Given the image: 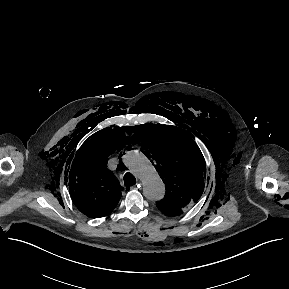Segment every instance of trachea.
<instances>
[{
  "mask_svg": "<svg viewBox=\"0 0 289 289\" xmlns=\"http://www.w3.org/2000/svg\"><path fill=\"white\" fill-rule=\"evenodd\" d=\"M136 184V178L129 172L124 175V185L129 187Z\"/></svg>",
  "mask_w": 289,
  "mask_h": 289,
  "instance_id": "1",
  "label": "trachea"
}]
</instances>
